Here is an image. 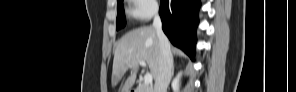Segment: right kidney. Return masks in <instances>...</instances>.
<instances>
[{
	"label": "right kidney",
	"instance_id": "right-kidney-1",
	"mask_svg": "<svg viewBox=\"0 0 296 92\" xmlns=\"http://www.w3.org/2000/svg\"><path fill=\"white\" fill-rule=\"evenodd\" d=\"M181 75H182V71H180V72L177 74V76L175 77V79H174L173 82H172V89H173V92H178V91H179Z\"/></svg>",
	"mask_w": 296,
	"mask_h": 92
}]
</instances>
